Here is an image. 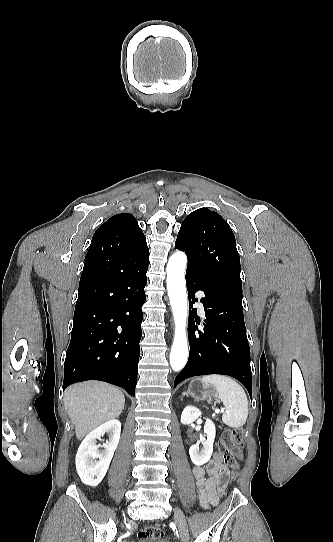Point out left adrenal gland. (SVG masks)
Wrapping results in <instances>:
<instances>
[{"instance_id": "a2214340", "label": "left adrenal gland", "mask_w": 333, "mask_h": 542, "mask_svg": "<svg viewBox=\"0 0 333 542\" xmlns=\"http://www.w3.org/2000/svg\"><path fill=\"white\" fill-rule=\"evenodd\" d=\"M182 396H188V394H186V392H183Z\"/></svg>"}]
</instances>
